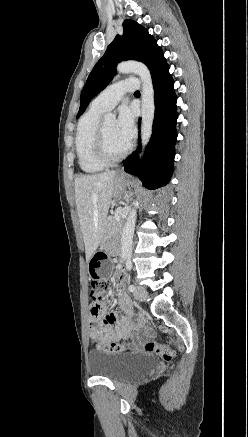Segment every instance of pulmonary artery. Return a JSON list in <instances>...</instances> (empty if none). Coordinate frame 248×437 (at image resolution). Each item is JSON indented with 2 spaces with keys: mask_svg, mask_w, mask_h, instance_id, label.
<instances>
[{
  "mask_svg": "<svg viewBox=\"0 0 248 437\" xmlns=\"http://www.w3.org/2000/svg\"><path fill=\"white\" fill-rule=\"evenodd\" d=\"M140 81L136 77H130L115 82L98 94L92 101V106L103 111L112 109L128 92H134L139 88Z\"/></svg>",
  "mask_w": 248,
  "mask_h": 437,
  "instance_id": "1",
  "label": "pulmonary artery"
}]
</instances>
